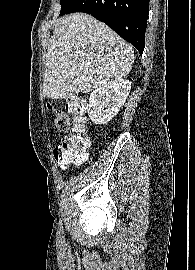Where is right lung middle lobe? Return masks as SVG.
Wrapping results in <instances>:
<instances>
[{
    "label": "right lung middle lobe",
    "mask_w": 195,
    "mask_h": 270,
    "mask_svg": "<svg viewBox=\"0 0 195 270\" xmlns=\"http://www.w3.org/2000/svg\"><path fill=\"white\" fill-rule=\"evenodd\" d=\"M77 0H60L61 4V11L60 15L67 14L72 5L76 2Z\"/></svg>",
    "instance_id": "obj_1"
}]
</instances>
